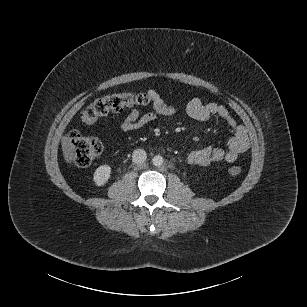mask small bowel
<instances>
[{"label": "small bowel", "instance_id": "1", "mask_svg": "<svg viewBox=\"0 0 307 307\" xmlns=\"http://www.w3.org/2000/svg\"><path fill=\"white\" fill-rule=\"evenodd\" d=\"M148 95L153 101V110L141 113L138 109H132L120 123L122 131H136L153 123L159 116H171L176 113V108L165 103L155 90L149 89ZM186 112L197 121L219 118L233 133L227 149L206 146L191 151L187 156L190 164L208 166L213 163H232L249 151L250 142L245 127L239 124L224 106L214 102L204 103L199 98H193L188 102Z\"/></svg>", "mask_w": 307, "mask_h": 307}]
</instances>
